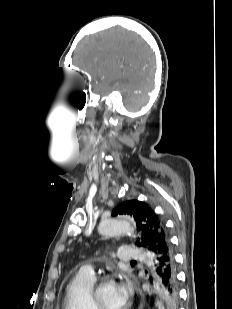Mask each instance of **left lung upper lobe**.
<instances>
[{"label": "left lung upper lobe", "instance_id": "obj_1", "mask_svg": "<svg viewBox=\"0 0 232 309\" xmlns=\"http://www.w3.org/2000/svg\"><path fill=\"white\" fill-rule=\"evenodd\" d=\"M118 214H127L134 218L140 233L135 245L144 248L152 256L161 237L169 238L161 219L144 202L138 200L123 202L112 212L113 216ZM164 302L166 304V300Z\"/></svg>", "mask_w": 232, "mask_h": 309}]
</instances>
